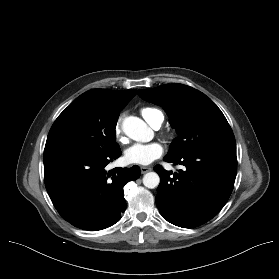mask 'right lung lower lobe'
<instances>
[{
  "label": "right lung lower lobe",
  "mask_w": 279,
  "mask_h": 279,
  "mask_svg": "<svg viewBox=\"0 0 279 279\" xmlns=\"http://www.w3.org/2000/svg\"><path fill=\"white\" fill-rule=\"evenodd\" d=\"M121 156L120 148L108 153L66 149L44 153L47 192L59 214L84 230H101L121 219L126 209L123 187L140 177L138 166L105 167Z\"/></svg>",
  "instance_id": "obj_1"
}]
</instances>
